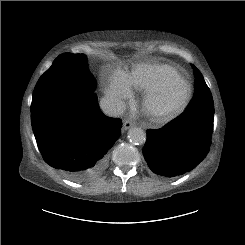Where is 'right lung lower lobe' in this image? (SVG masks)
Returning <instances> with one entry per match:
<instances>
[{
	"instance_id": "obj_1",
	"label": "right lung lower lobe",
	"mask_w": 245,
	"mask_h": 245,
	"mask_svg": "<svg viewBox=\"0 0 245 245\" xmlns=\"http://www.w3.org/2000/svg\"><path fill=\"white\" fill-rule=\"evenodd\" d=\"M31 124L45 162L76 182L104 171L122 126L121 119L100 111L91 90L60 94L31 106Z\"/></svg>"
}]
</instances>
